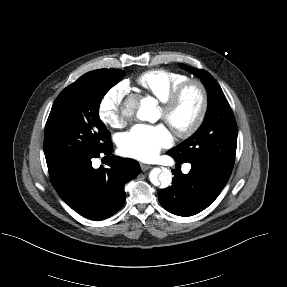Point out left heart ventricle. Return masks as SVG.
<instances>
[{
	"mask_svg": "<svg viewBox=\"0 0 287 287\" xmlns=\"http://www.w3.org/2000/svg\"><path fill=\"white\" fill-rule=\"evenodd\" d=\"M200 108V96L195 88L189 89L184 95L179 107L171 117V123L178 128L190 125L196 118ZM161 117L163 113L161 111Z\"/></svg>",
	"mask_w": 287,
	"mask_h": 287,
	"instance_id": "obj_1",
	"label": "left heart ventricle"
}]
</instances>
